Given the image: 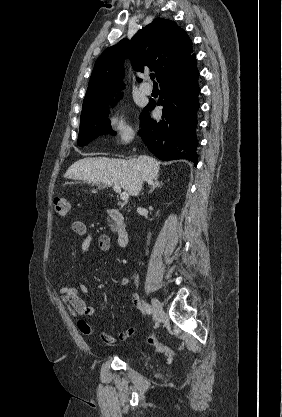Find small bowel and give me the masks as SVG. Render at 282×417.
Instances as JSON below:
<instances>
[{"label":"small bowel","instance_id":"small-bowel-1","mask_svg":"<svg viewBox=\"0 0 282 417\" xmlns=\"http://www.w3.org/2000/svg\"><path fill=\"white\" fill-rule=\"evenodd\" d=\"M71 230L74 234L78 236H85L83 242L80 245V251L83 254H87L90 248L93 245H96L99 251L107 252L110 249L111 241L110 238L106 234H101L97 237H94L88 234L87 225L81 220H74L71 225ZM130 280L128 278H123L121 280L122 287H129ZM87 287L85 285H81L79 289L71 287L67 284H64L60 289V294L63 302L67 305L69 310L74 316L83 318V317H90L95 314V308L93 306L87 305L86 303V295H87ZM132 300L136 302L138 300L137 295H132ZM78 330L86 336L93 335L94 331L90 324L85 321L84 319H79L77 322ZM132 329H126L119 333L118 339L119 340H126L131 334ZM101 340L105 344H115L117 339L111 336L106 332H102Z\"/></svg>","mask_w":282,"mask_h":417}]
</instances>
